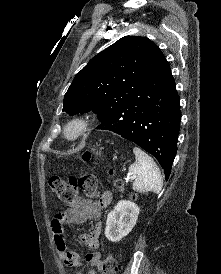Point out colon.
<instances>
[{"label": "colon", "mask_w": 221, "mask_h": 274, "mask_svg": "<svg viewBox=\"0 0 221 274\" xmlns=\"http://www.w3.org/2000/svg\"><path fill=\"white\" fill-rule=\"evenodd\" d=\"M83 160L90 158L89 152L82 154ZM113 174V171H110ZM49 186L53 193L63 202H71L79 192L85 193L89 197L97 194V180L93 175L85 174L78 177H71L68 181L59 176H51ZM115 186L119 191L124 190V184L120 180H115ZM118 265L114 255L108 254L103 263V274H117Z\"/></svg>", "instance_id": "5ec220e1"}]
</instances>
